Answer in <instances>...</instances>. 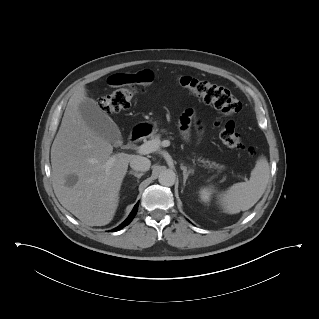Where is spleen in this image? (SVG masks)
<instances>
[{
  "instance_id": "spleen-1",
  "label": "spleen",
  "mask_w": 319,
  "mask_h": 319,
  "mask_svg": "<svg viewBox=\"0 0 319 319\" xmlns=\"http://www.w3.org/2000/svg\"><path fill=\"white\" fill-rule=\"evenodd\" d=\"M270 176L266 157L261 156L251 171L250 180L233 184L220 197L226 213L236 214L253 207L264 194Z\"/></svg>"
}]
</instances>
